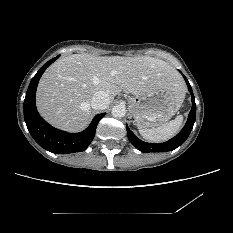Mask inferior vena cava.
Segmentation results:
<instances>
[{
	"label": "inferior vena cava",
	"instance_id": "inferior-vena-cava-1",
	"mask_svg": "<svg viewBox=\"0 0 233 233\" xmlns=\"http://www.w3.org/2000/svg\"><path fill=\"white\" fill-rule=\"evenodd\" d=\"M110 103L109 95L104 91L96 92L91 99V107L95 110H104Z\"/></svg>",
	"mask_w": 233,
	"mask_h": 233
}]
</instances>
